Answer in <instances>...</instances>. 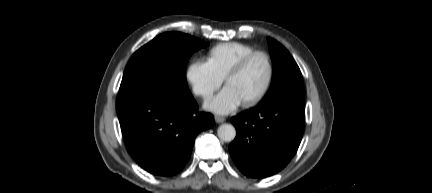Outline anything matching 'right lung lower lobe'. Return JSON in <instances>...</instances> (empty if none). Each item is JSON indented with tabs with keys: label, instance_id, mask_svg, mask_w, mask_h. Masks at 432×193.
<instances>
[{
	"label": "right lung lower lobe",
	"instance_id": "right-lung-lower-lobe-1",
	"mask_svg": "<svg viewBox=\"0 0 432 193\" xmlns=\"http://www.w3.org/2000/svg\"><path fill=\"white\" fill-rule=\"evenodd\" d=\"M117 107L128 151L142 168L159 176L180 172L197 134L214 122L211 114L198 112L191 94L141 89L120 97Z\"/></svg>",
	"mask_w": 432,
	"mask_h": 193
}]
</instances>
